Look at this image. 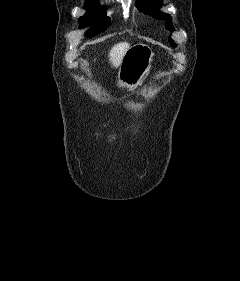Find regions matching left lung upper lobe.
<instances>
[{
  "label": "left lung upper lobe",
  "mask_w": 240,
  "mask_h": 281,
  "mask_svg": "<svg viewBox=\"0 0 240 281\" xmlns=\"http://www.w3.org/2000/svg\"><path fill=\"white\" fill-rule=\"evenodd\" d=\"M162 0H143L137 3V7L140 11H143L145 14H150L157 19H165L166 28L173 31L174 27L172 25V20L169 14H164L163 12L156 11L159 5H161ZM170 44L174 46L173 41H170Z\"/></svg>",
  "instance_id": "5c2ea615"
}]
</instances>
